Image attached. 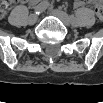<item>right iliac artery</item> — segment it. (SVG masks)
Instances as JSON below:
<instances>
[{"mask_svg": "<svg viewBox=\"0 0 103 103\" xmlns=\"http://www.w3.org/2000/svg\"><path fill=\"white\" fill-rule=\"evenodd\" d=\"M48 6H49V3L47 1H43V2L39 3L37 6H35L34 13L37 14V15H39L44 10H46V8Z\"/></svg>", "mask_w": 103, "mask_h": 103, "instance_id": "82829eb1", "label": "right iliac artery"}]
</instances>
